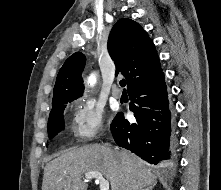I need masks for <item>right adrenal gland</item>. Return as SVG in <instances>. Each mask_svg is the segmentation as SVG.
Instances as JSON below:
<instances>
[{"mask_svg":"<svg viewBox=\"0 0 221 190\" xmlns=\"http://www.w3.org/2000/svg\"><path fill=\"white\" fill-rule=\"evenodd\" d=\"M152 189H153V186H150V187L145 188V189H143V190H152Z\"/></svg>","mask_w":221,"mask_h":190,"instance_id":"right-adrenal-gland-1","label":"right adrenal gland"}]
</instances>
